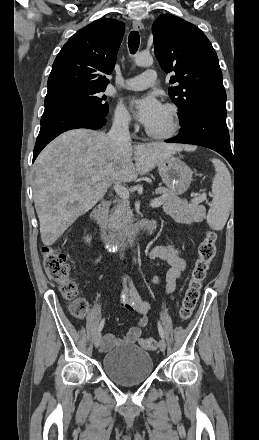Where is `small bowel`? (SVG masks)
Here are the masks:
<instances>
[{
	"instance_id": "c3829d8e",
	"label": "small bowel",
	"mask_w": 259,
	"mask_h": 440,
	"mask_svg": "<svg viewBox=\"0 0 259 440\" xmlns=\"http://www.w3.org/2000/svg\"><path fill=\"white\" fill-rule=\"evenodd\" d=\"M148 258H158L170 265L164 281H161L157 276L151 277L149 281L153 284L162 285L166 294H172L177 282L182 279V275L187 269V263L183 258L182 251L173 244L166 243L153 247L148 253ZM97 261L98 259L93 263ZM120 298L121 306L124 310L138 315V326L130 328L126 334L121 336L113 334L104 335L101 343L103 351H108L120 345L135 344L141 335V328L145 327L149 322L148 313L151 306L148 302L142 300L129 278H125L123 281Z\"/></svg>"
}]
</instances>
